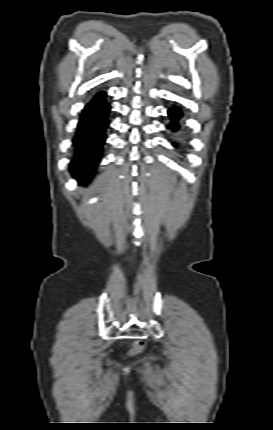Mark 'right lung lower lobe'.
Returning a JSON list of instances; mask_svg holds the SVG:
<instances>
[{
  "label": "right lung lower lobe",
  "instance_id": "1",
  "mask_svg": "<svg viewBox=\"0 0 273 430\" xmlns=\"http://www.w3.org/2000/svg\"><path fill=\"white\" fill-rule=\"evenodd\" d=\"M105 98V93H98L85 106L73 139L74 154L69 169L81 185H86L96 172L106 141L110 105Z\"/></svg>",
  "mask_w": 273,
  "mask_h": 430
}]
</instances>
